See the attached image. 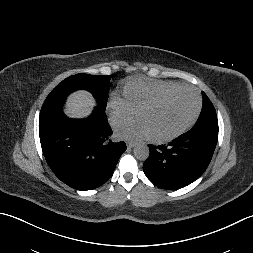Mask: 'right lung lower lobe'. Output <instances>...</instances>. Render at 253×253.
<instances>
[{
	"label": "right lung lower lobe",
	"mask_w": 253,
	"mask_h": 253,
	"mask_svg": "<svg viewBox=\"0 0 253 253\" xmlns=\"http://www.w3.org/2000/svg\"><path fill=\"white\" fill-rule=\"evenodd\" d=\"M63 101H45L40 112L39 136L45 159L68 186L95 189L112 176L126 144L109 140L112 129L104 109L97 106L88 118L70 119L62 111Z\"/></svg>",
	"instance_id": "98d812e1"
}]
</instances>
